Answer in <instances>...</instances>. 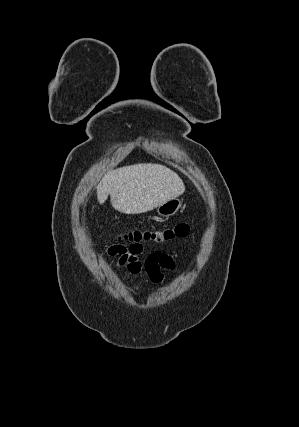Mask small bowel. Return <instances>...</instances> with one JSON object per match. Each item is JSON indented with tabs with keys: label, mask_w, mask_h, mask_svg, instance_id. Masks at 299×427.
<instances>
[{
	"label": "small bowel",
	"mask_w": 299,
	"mask_h": 427,
	"mask_svg": "<svg viewBox=\"0 0 299 427\" xmlns=\"http://www.w3.org/2000/svg\"><path fill=\"white\" fill-rule=\"evenodd\" d=\"M142 253L143 247L140 244H133L125 251L117 252V266L126 268L133 275L145 272L154 283L162 281L163 270L175 269V262L167 253L154 252L148 255L145 261H141Z\"/></svg>",
	"instance_id": "1"
}]
</instances>
